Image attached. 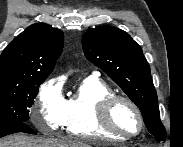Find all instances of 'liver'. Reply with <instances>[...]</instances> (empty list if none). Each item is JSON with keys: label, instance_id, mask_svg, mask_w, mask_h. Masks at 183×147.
Listing matches in <instances>:
<instances>
[{"label": "liver", "instance_id": "liver-1", "mask_svg": "<svg viewBox=\"0 0 183 147\" xmlns=\"http://www.w3.org/2000/svg\"><path fill=\"white\" fill-rule=\"evenodd\" d=\"M0 147H92V144L71 138L43 139L18 134L0 140Z\"/></svg>", "mask_w": 183, "mask_h": 147}]
</instances>
